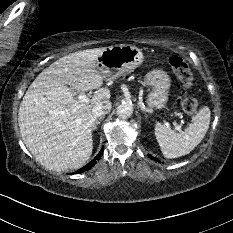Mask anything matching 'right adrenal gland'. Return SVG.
Here are the masks:
<instances>
[{"label":"right adrenal gland","instance_id":"obj_1","mask_svg":"<svg viewBox=\"0 0 233 233\" xmlns=\"http://www.w3.org/2000/svg\"><path fill=\"white\" fill-rule=\"evenodd\" d=\"M104 118V116H101L99 118H95L94 122L92 124V130H95L97 128V125L100 123V121Z\"/></svg>","mask_w":233,"mask_h":233}]
</instances>
